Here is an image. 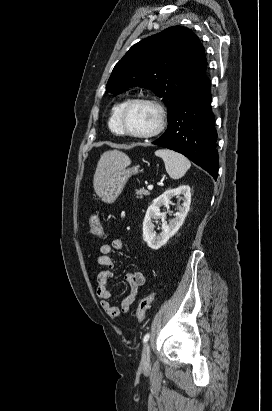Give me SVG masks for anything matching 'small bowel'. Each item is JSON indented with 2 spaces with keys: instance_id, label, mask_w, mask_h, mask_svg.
<instances>
[{
  "instance_id": "obj_1",
  "label": "small bowel",
  "mask_w": 272,
  "mask_h": 411,
  "mask_svg": "<svg viewBox=\"0 0 272 411\" xmlns=\"http://www.w3.org/2000/svg\"><path fill=\"white\" fill-rule=\"evenodd\" d=\"M123 247L124 243L120 239H115L110 244H101L99 247L100 254L97 258V262L105 268L98 274L97 294L102 309L111 318H117L121 312L124 314L129 313L140 288L146 283V276L141 270H130L125 277L129 284L130 292L128 296L123 299L120 309L109 302V299L111 298L109 282L112 278V269L115 266V259L112 257V253L114 250L123 249Z\"/></svg>"
}]
</instances>
